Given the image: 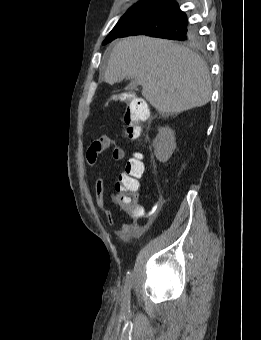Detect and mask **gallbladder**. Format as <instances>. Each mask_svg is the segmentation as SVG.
Segmentation results:
<instances>
[{"label":"gallbladder","instance_id":"bac80fb5","mask_svg":"<svg viewBox=\"0 0 261 340\" xmlns=\"http://www.w3.org/2000/svg\"><path fill=\"white\" fill-rule=\"evenodd\" d=\"M131 84H137V81H136V80H133V81L131 82Z\"/></svg>","mask_w":261,"mask_h":340}]
</instances>
